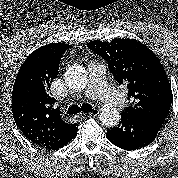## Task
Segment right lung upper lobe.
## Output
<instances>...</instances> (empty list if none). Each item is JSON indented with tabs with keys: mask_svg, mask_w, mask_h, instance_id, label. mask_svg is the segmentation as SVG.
Returning <instances> with one entry per match:
<instances>
[{
	"mask_svg": "<svg viewBox=\"0 0 178 178\" xmlns=\"http://www.w3.org/2000/svg\"><path fill=\"white\" fill-rule=\"evenodd\" d=\"M70 47L60 42L36 49L22 64L13 87L11 107L17 127L33 144L48 150L78 126L60 115L49 95L61 57Z\"/></svg>",
	"mask_w": 178,
	"mask_h": 178,
	"instance_id": "cb5924a9",
	"label": "right lung upper lobe"
}]
</instances>
